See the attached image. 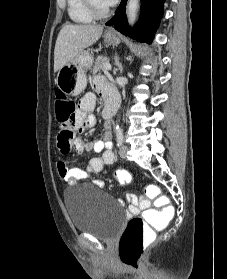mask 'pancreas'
Listing matches in <instances>:
<instances>
[{
    "label": "pancreas",
    "mask_w": 227,
    "mask_h": 279,
    "mask_svg": "<svg viewBox=\"0 0 227 279\" xmlns=\"http://www.w3.org/2000/svg\"><path fill=\"white\" fill-rule=\"evenodd\" d=\"M109 63V59L108 58H98L95 61V64L93 66V68L91 69V72L93 74H96L98 71L100 70H104V65Z\"/></svg>",
    "instance_id": "obj_1"
}]
</instances>
